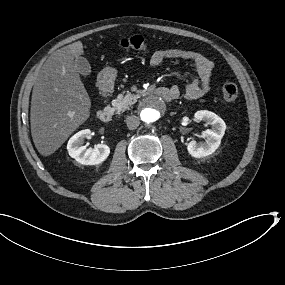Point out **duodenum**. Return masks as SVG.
Segmentation results:
<instances>
[{"label": "duodenum", "instance_id": "duodenum-1", "mask_svg": "<svg viewBox=\"0 0 285 285\" xmlns=\"http://www.w3.org/2000/svg\"><path fill=\"white\" fill-rule=\"evenodd\" d=\"M99 88L101 94L106 95L110 90V84L108 82H101ZM150 91L165 100H172L177 97L176 93L171 88L167 87H152ZM97 117L100 121L107 123L111 121L113 117V109L111 107L101 108L97 112Z\"/></svg>", "mask_w": 285, "mask_h": 285}]
</instances>
